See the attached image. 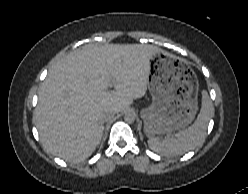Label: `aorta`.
Listing matches in <instances>:
<instances>
[{"instance_id":"762f6f07","label":"aorta","mask_w":248,"mask_h":194,"mask_svg":"<svg viewBox=\"0 0 248 194\" xmlns=\"http://www.w3.org/2000/svg\"><path fill=\"white\" fill-rule=\"evenodd\" d=\"M135 118H136L135 114L131 112L126 113L124 116L125 122L130 123V124L135 121Z\"/></svg>"}]
</instances>
